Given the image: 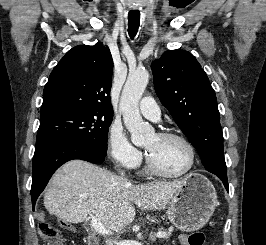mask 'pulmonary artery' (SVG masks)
Returning a JSON list of instances; mask_svg holds the SVG:
<instances>
[{
  "mask_svg": "<svg viewBox=\"0 0 266 245\" xmlns=\"http://www.w3.org/2000/svg\"><path fill=\"white\" fill-rule=\"evenodd\" d=\"M139 109L150 120L157 121L160 119L161 111L156 103L153 104V96H144V99L140 101Z\"/></svg>",
  "mask_w": 266,
  "mask_h": 245,
  "instance_id": "pulmonary-artery-1",
  "label": "pulmonary artery"
}]
</instances>
